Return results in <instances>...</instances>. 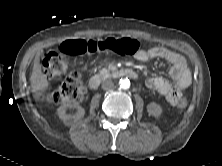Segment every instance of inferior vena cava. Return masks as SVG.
Instances as JSON below:
<instances>
[{
    "label": "inferior vena cava",
    "instance_id": "1",
    "mask_svg": "<svg viewBox=\"0 0 222 166\" xmlns=\"http://www.w3.org/2000/svg\"><path fill=\"white\" fill-rule=\"evenodd\" d=\"M102 88H103V90H106V91L113 89V88H114V83H113V81L110 80V79L103 80V82H102Z\"/></svg>",
    "mask_w": 222,
    "mask_h": 166
}]
</instances>
